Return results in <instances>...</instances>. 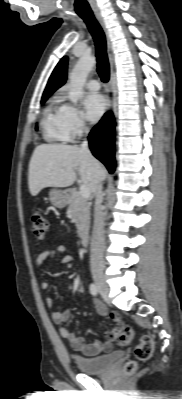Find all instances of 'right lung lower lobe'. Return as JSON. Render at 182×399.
I'll return each mask as SVG.
<instances>
[{
  "instance_id": "1",
  "label": "right lung lower lobe",
  "mask_w": 182,
  "mask_h": 399,
  "mask_svg": "<svg viewBox=\"0 0 182 399\" xmlns=\"http://www.w3.org/2000/svg\"><path fill=\"white\" fill-rule=\"evenodd\" d=\"M89 145L93 155L110 173L115 170V120L111 112L106 113L89 134Z\"/></svg>"
}]
</instances>
